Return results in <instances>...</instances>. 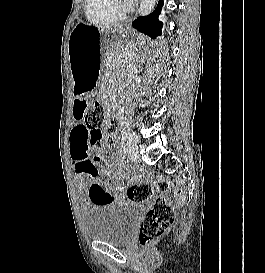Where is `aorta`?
Here are the masks:
<instances>
[{
    "mask_svg": "<svg viewBox=\"0 0 265 273\" xmlns=\"http://www.w3.org/2000/svg\"><path fill=\"white\" fill-rule=\"evenodd\" d=\"M156 0H142L138 9L140 16H147L155 6Z\"/></svg>",
    "mask_w": 265,
    "mask_h": 273,
    "instance_id": "obj_1",
    "label": "aorta"
}]
</instances>
